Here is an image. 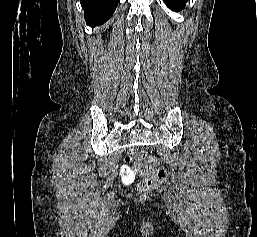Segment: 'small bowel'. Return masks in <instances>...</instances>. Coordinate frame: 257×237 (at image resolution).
Masks as SVG:
<instances>
[{
	"instance_id": "obj_1",
	"label": "small bowel",
	"mask_w": 257,
	"mask_h": 237,
	"mask_svg": "<svg viewBox=\"0 0 257 237\" xmlns=\"http://www.w3.org/2000/svg\"><path fill=\"white\" fill-rule=\"evenodd\" d=\"M120 173L122 174L123 180L125 182H131L134 180V174L128 166H122L120 168Z\"/></svg>"
}]
</instances>
